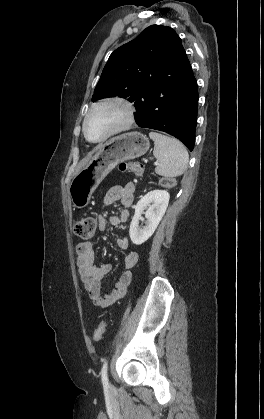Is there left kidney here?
Instances as JSON below:
<instances>
[{
    "label": "left kidney",
    "instance_id": "5707ae66",
    "mask_svg": "<svg viewBox=\"0 0 264 419\" xmlns=\"http://www.w3.org/2000/svg\"><path fill=\"white\" fill-rule=\"evenodd\" d=\"M170 195L166 190H153L143 196L135 206V214L130 224L129 235L131 241L140 245L147 241L156 230L168 207ZM148 208V209H147ZM145 212L147 222L143 228L139 227V219Z\"/></svg>",
    "mask_w": 264,
    "mask_h": 419
}]
</instances>
